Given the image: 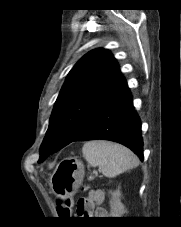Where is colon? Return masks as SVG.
Instances as JSON below:
<instances>
[{"mask_svg":"<svg viewBox=\"0 0 181 227\" xmlns=\"http://www.w3.org/2000/svg\"><path fill=\"white\" fill-rule=\"evenodd\" d=\"M59 214L60 215H69L72 209V202L69 198H59L58 199Z\"/></svg>","mask_w":181,"mask_h":227,"instance_id":"1","label":"colon"}]
</instances>
